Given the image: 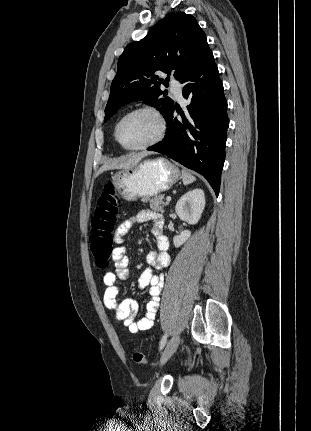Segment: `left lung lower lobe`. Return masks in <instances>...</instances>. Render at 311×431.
I'll use <instances>...</instances> for the list:
<instances>
[{"instance_id":"obj_1","label":"left lung lower lobe","mask_w":311,"mask_h":431,"mask_svg":"<svg viewBox=\"0 0 311 431\" xmlns=\"http://www.w3.org/2000/svg\"><path fill=\"white\" fill-rule=\"evenodd\" d=\"M189 100L182 120L173 117L174 105L165 117V138L148 148L162 153L202 174L218 196L225 160L229 119L223 84L210 49L206 50L180 80Z\"/></svg>"}]
</instances>
